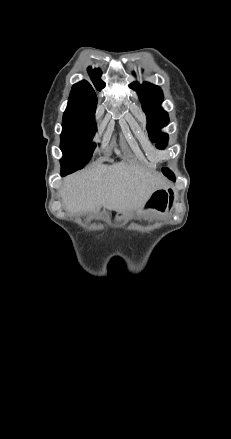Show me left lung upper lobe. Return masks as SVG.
<instances>
[{"instance_id": "5c2ea615", "label": "left lung upper lobe", "mask_w": 231, "mask_h": 439, "mask_svg": "<svg viewBox=\"0 0 231 439\" xmlns=\"http://www.w3.org/2000/svg\"><path fill=\"white\" fill-rule=\"evenodd\" d=\"M130 88L137 90L139 98L143 102V111L147 116V129L151 141L157 142V148H165L168 136L166 133H162L160 129L167 125L169 119L167 112L158 107L163 101L162 90L158 86L147 82L142 85L133 82ZM162 171L169 178H174L170 170L163 169Z\"/></svg>"}]
</instances>
